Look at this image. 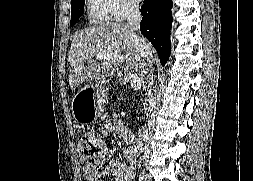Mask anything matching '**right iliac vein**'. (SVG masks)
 Masks as SVG:
<instances>
[{
	"label": "right iliac vein",
	"mask_w": 253,
	"mask_h": 181,
	"mask_svg": "<svg viewBox=\"0 0 253 181\" xmlns=\"http://www.w3.org/2000/svg\"><path fill=\"white\" fill-rule=\"evenodd\" d=\"M144 178H145V181H151V178L148 175H145Z\"/></svg>",
	"instance_id": "63e3f726"
}]
</instances>
